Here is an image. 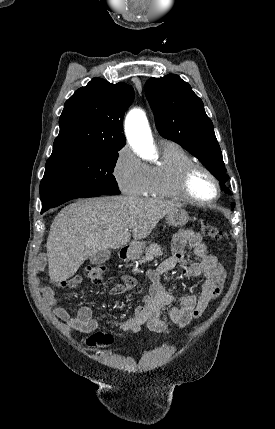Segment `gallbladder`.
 <instances>
[{"mask_svg": "<svg viewBox=\"0 0 275 429\" xmlns=\"http://www.w3.org/2000/svg\"><path fill=\"white\" fill-rule=\"evenodd\" d=\"M110 258V250L105 249L102 251H99L94 256L90 257V263L92 265H100L102 263H105Z\"/></svg>", "mask_w": 275, "mask_h": 429, "instance_id": "bac80fb5", "label": "gallbladder"}]
</instances>
